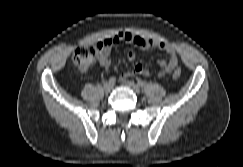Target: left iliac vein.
Wrapping results in <instances>:
<instances>
[{"label": "left iliac vein", "instance_id": "1", "mask_svg": "<svg viewBox=\"0 0 243 167\" xmlns=\"http://www.w3.org/2000/svg\"><path fill=\"white\" fill-rule=\"evenodd\" d=\"M122 85L127 87V88H130L131 90H133L136 94H139L140 93V88L132 81H122Z\"/></svg>", "mask_w": 243, "mask_h": 167}]
</instances>
